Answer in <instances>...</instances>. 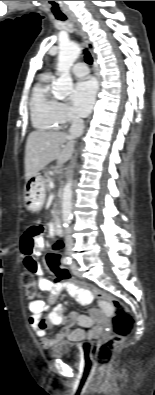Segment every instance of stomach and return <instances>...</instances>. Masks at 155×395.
Listing matches in <instances>:
<instances>
[{
	"label": "stomach",
	"mask_w": 155,
	"mask_h": 395,
	"mask_svg": "<svg viewBox=\"0 0 155 395\" xmlns=\"http://www.w3.org/2000/svg\"><path fill=\"white\" fill-rule=\"evenodd\" d=\"M24 200L30 212L39 211L45 201V180L40 174L32 177L25 185Z\"/></svg>",
	"instance_id": "0dacf381"
}]
</instances>
